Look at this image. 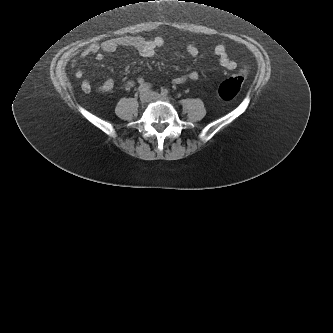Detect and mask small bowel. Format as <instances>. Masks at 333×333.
<instances>
[{
    "instance_id": "1",
    "label": "small bowel",
    "mask_w": 333,
    "mask_h": 333,
    "mask_svg": "<svg viewBox=\"0 0 333 333\" xmlns=\"http://www.w3.org/2000/svg\"><path fill=\"white\" fill-rule=\"evenodd\" d=\"M165 42L161 38L145 39L139 36H123L117 38H110L101 43H92L88 45L80 54L81 59H85L90 55H94L97 60L101 61L104 59V53L114 52L119 48H134L138 53L145 58H149L155 55L156 51L164 47ZM186 50L189 55L195 57L198 55L199 51L196 46L192 44L186 45ZM214 54L219 60L220 65L227 70H234L236 68V63L233 61L228 53L227 49L223 45H218L214 49ZM72 66L76 65V59H71ZM83 76V70L81 67H77L74 72V77L80 79ZM199 74L196 71L189 72L188 74L178 76L172 80L175 85L182 84L187 80H198ZM142 85H146L144 80L140 78L138 80ZM114 80L112 78H107L99 87L98 91L101 93L110 92L114 88ZM134 86V82L129 81L126 83L127 88ZM81 88L84 92H90L92 85L88 80H84L81 83Z\"/></svg>"
}]
</instances>
